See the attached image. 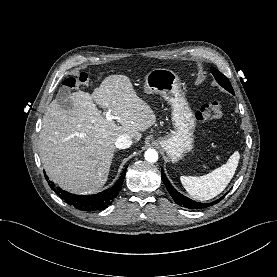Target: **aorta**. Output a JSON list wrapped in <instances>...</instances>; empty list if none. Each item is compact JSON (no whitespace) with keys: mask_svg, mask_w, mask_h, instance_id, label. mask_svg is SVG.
Segmentation results:
<instances>
[{"mask_svg":"<svg viewBox=\"0 0 277 277\" xmlns=\"http://www.w3.org/2000/svg\"><path fill=\"white\" fill-rule=\"evenodd\" d=\"M145 160L150 163H154L158 160V153L154 149H148L144 154Z\"/></svg>","mask_w":277,"mask_h":277,"instance_id":"1","label":"aorta"}]
</instances>
